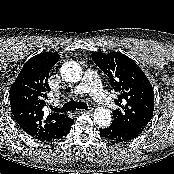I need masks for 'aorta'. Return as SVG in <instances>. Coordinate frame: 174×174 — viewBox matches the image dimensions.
Masks as SVG:
<instances>
[{
	"label": "aorta",
	"mask_w": 174,
	"mask_h": 174,
	"mask_svg": "<svg viewBox=\"0 0 174 174\" xmlns=\"http://www.w3.org/2000/svg\"><path fill=\"white\" fill-rule=\"evenodd\" d=\"M61 76L68 82L76 83L82 78V68L75 61L65 62L60 69ZM95 123L102 127H107L111 123V113L109 109L98 107L93 114Z\"/></svg>",
	"instance_id": "1"
}]
</instances>
